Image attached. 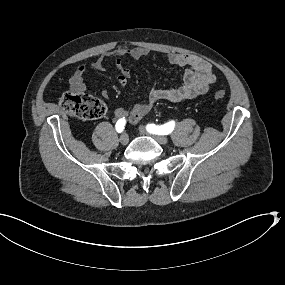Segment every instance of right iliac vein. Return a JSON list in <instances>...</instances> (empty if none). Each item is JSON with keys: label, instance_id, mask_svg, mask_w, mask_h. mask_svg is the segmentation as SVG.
<instances>
[{"label": "right iliac vein", "instance_id": "63e3f726", "mask_svg": "<svg viewBox=\"0 0 285 285\" xmlns=\"http://www.w3.org/2000/svg\"><path fill=\"white\" fill-rule=\"evenodd\" d=\"M120 142L122 145H127L129 143V137L126 133L121 135Z\"/></svg>", "mask_w": 285, "mask_h": 285}]
</instances>
